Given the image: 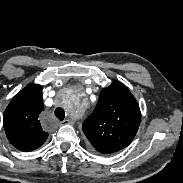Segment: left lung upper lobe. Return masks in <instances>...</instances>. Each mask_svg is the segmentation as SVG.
I'll return each mask as SVG.
<instances>
[{"label":"left lung upper lobe","mask_w":183,"mask_h":183,"mask_svg":"<svg viewBox=\"0 0 183 183\" xmlns=\"http://www.w3.org/2000/svg\"><path fill=\"white\" fill-rule=\"evenodd\" d=\"M141 120L139 105L119 81L103 88L92 114L82 129L100 153L111 154L127 147L137 133Z\"/></svg>","instance_id":"5c2ea615"}]
</instances>
